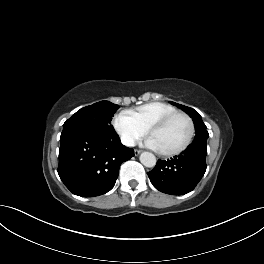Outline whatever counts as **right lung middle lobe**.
<instances>
[{"instance_id": "obj_1", "label": "right lung middle lobe", "mask_w": 264, "mask_h": 264, "mask_svg": "<svg viewBox=\"0 0 264 264\" xmlns=\"http://www.w3.org/2000/svg\"><path fill=\"white\" fill-rule=\"evenodd\" d=\"M118 108V105L109 101H101L81 108L63 124V129L81 128L114 133L111 120Z\"/></svg>"}]
</instances>
